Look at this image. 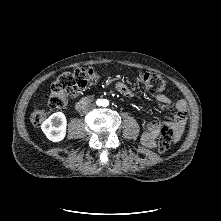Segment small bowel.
<instances>
[{
    "label": "small bowel",
    "instance_id": "obj_1",
    "mask_svg": "<svg viewBox=\"0 0 221 221\" xmlns=\"http://www.w3.org/2000/svg\"><path fill=\"white\" fill-rule=\"evenodd\" d=\"M115 87L117 91L125 97H132L134 95L133 91L123 82L116 83ZM156 99L164 107H169L171 105V100L164 94L157 95ZM186 116L187 111L185 101H177L175 119L173 121H154L148 123L142 134L143 144L147 147L154 146L155 139L159 135L162 126L171 127L176 132L177 137H179L185 126Z\"/></svg>",
    "mask_w": 221,
    "mask_h": 221
}]
</instances>
